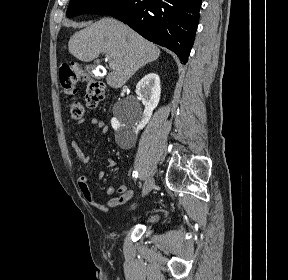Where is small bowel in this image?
Here are the masks:
<instances>
[{"label": "small bowel", "instance_id": "1", "mask_svg": "<svg viewBox=\"0 0 288 280\" xmlns=\"http://www.w3.org/2000/svg\"><path fill=\"white\" fill-rule=\"evenodd\" d=\"M85 121L86 120L83 119L79 122V124H83ZM89 122L92 126H95L96 128L100 129L103 134H106L108 132V127L104 121L98 118L92 117L89 119ZM71 147L76 153L78 159L83 164H87L90 161V156L82 150L78 142L72 141ZM107 167L108 168L115 167V161L112 158L107 159ZM105 175L106 173L104 171H100L97 174V178L100 180L104 179ZM78 186L84 199L87 201V203H89L91 206H93L94 208L102 212H108L110 209L114 207L125 204L134 195V191L132 189H129L125 184H121L118 187H115L114 185H110L107 188V194L109 196H112V195H115V196L107 200L99 199L94 194L93 190L91 189L88 177L85 175H81L78 178Z\"/></svg>", "mask_w": 288, "mask_h": 280}]
</instances>
